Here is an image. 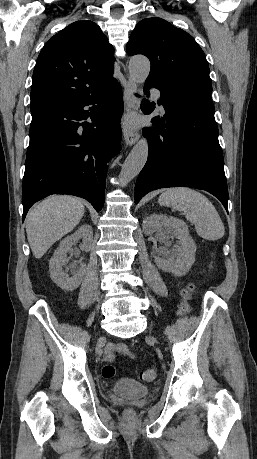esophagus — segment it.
<instances>
[{
  "mask_svg": "<svg viewBox=\"0 0 257 459\" xmlns=\"http://www.w3.org/2000/svg\"><path fill=\"white\" fill-rule=\"evenodd\" d=\"M137 91V86L135 82L127 77L126 86L124 89V103L126 113H129L131 110L138 109V100L135 98L134 94ZM123 137L127 145L132 146L135 144L139 138L138 130L130 129L126 123L123 124Z\"/></svg>",
  "mask_w": 257,
  "mask_h": 459,
  "instance_id": "34e87169",
  "label": "esophagus"
}]
</instances>
